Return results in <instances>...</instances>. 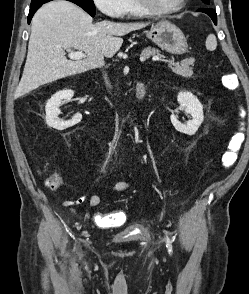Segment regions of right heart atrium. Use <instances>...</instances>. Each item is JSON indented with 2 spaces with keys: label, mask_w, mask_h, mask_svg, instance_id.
<instances>
[{
  "label": "right heart atrium",
  "mask_w": 249,
  "mask_h": 294,
  "mask_svg": "<svg viewBox=\"0 0 249 294\" xmlns=\"http://www.w3.org/2000/svg\"><path fill=\"white\" fill-rule=\"evenodd\" d=\"M96 7L110 17L122 16L124 0H93Z\"/></svg>",
  "instance_id": "obj_1"
}]
</instances>
